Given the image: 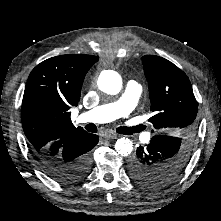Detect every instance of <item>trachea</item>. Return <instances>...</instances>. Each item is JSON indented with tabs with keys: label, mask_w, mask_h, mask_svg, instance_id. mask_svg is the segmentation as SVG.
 <instances>
[{
	"label": "trachea",
	"mask_w": 221,
	"mask_h": 221,
	"mask_svg": "<svg viewBox=\"0 0 221 221\" xmlns=\"http://www.w3.org/2000/svg\"><path fill=\"white\" fill-rule=\"evenodd\" d=\"M86 130L92 133H96L97 132V127L90 123L88 125H86ZM142 130V128L140 126H136V127H119L117 128V132L120 134H128L131 135L133 133H137L140 132Z\"/></svg>",
	"instance_id": "3493384b"
}]
</instances>
